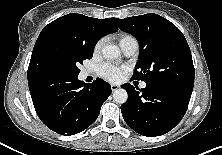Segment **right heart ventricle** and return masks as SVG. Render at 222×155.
<instances>
[{
    "label": "right heart ventricle",
    "instance_id": "right-heart-ventricle-1",
    "mask_svg": "<svg viewBox=\"0 0 222 155\" xmlns=\"http://www.w3.org/2000/svg\"><path fill=\"white\" fill-rule=\"evenodd\" d=\"M129 41H136V40L134 39V37H132L129 34H120L119 35V44H120V46L124 45L125 43H127Z\"/></svg>",
    "mask_w": 222,
    "mask_h": 155
}]
</instances>
